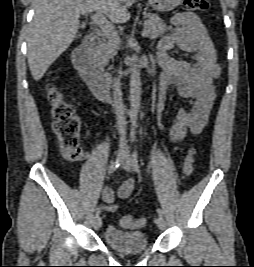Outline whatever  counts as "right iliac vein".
Here are the masks:
<instances>
[{"instance_id":"63e3f726","label":"right iliac vein","mask_w":254,"mask_h":267,"mask_svg":"<svg viewBox=\"0 0 254 267\" xmlns=\"http://www.w3.org/2000/svg\"><path fill=\"white\" fill-rule=\"evenodd\" d=\"M122 152H123L122 149L118 150V152H117V159H120L121 158ZM101 226H102V219L98 215V216H96L93 219V227H94V229L99 230L101 228Z\"/></svg>"}]
</instances>
